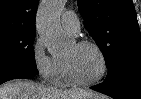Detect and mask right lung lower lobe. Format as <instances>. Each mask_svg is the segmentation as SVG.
<instances>
[{
    "label": "right lung lower lobe",
    "mask_w": 141,
    "mask_h": 99,
    "mask_svg": "<svg viewBox=\"0 0 141 99\" xmlns=\"http://www.w3.org/2000/svg\"><path fill=\"white\" fill-rule=\"evenodd\" d=\"M37 74V69H27L20 67L0 69V84L12 79L33 77Z\"/></svg>",
    "instance_id": "obj_1"
}]
</instances>
